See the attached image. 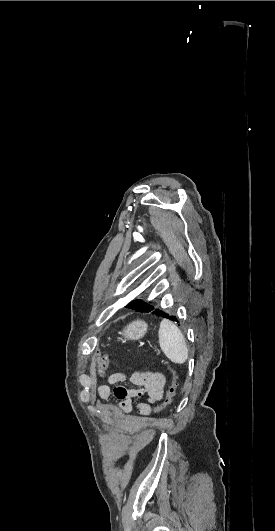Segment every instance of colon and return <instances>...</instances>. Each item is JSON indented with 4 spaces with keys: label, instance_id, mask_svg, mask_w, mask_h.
Instances as JSON below:
<instances>
[{
    "label": "colon",
    "instance_id": "1",
    "mask_svg": "<svg viewBox=\"0 0 275 531\" xmlns=\"http://www.w3.org/2000/svg\"><path fill=\"white\" fill-rule=\"evenodd\" d=\"M109 353L107 351H104L101 356L98 357L95 363L96 372L99 377H104L106 375V371L109 364ZM173 380L169 384L165 396L161 397L160 400L157 402L155 408H154V415L156 417H159L161 414L164 413L167 406L170 405V403L173 401V397L177 390V374L173 370L171 372Z\"/></svg>",
    "mask_w": 275,
    "mask_h": 531
}]
</instances>
